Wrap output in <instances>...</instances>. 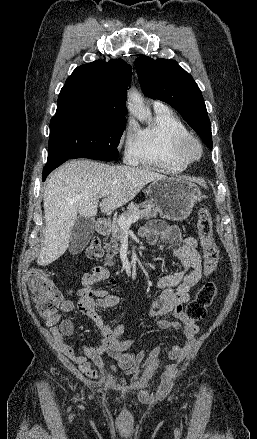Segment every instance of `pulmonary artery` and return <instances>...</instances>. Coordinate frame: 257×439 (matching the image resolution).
<instances>
[{"label": "pulmonary artery", "mask_w": 257, "mask_h": 439, "mask_svg": "<svg viewBox=\"0 0 257 439\" xmlns=\"http://www.w3.org/2000/svg\"><path fill=\"white\" fill-rule=\"evenodd\" d=\"M164 108H167V107L162 102L156 101L154 103V109L155 110H161V109H164Z\"/></svg>", "instance_id": "e3ab8cb5"}]
</instances>
